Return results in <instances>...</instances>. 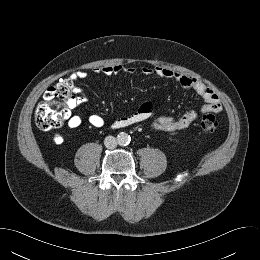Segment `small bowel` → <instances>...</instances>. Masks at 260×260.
Wrapping results in <instances>:
<instances>
[{"mask_svg": "<svg viewBox=\"0 0 260 260\" xmlns=\"http://www.w3.org/2000/svg\"><path fill=\"white\" fill-rule=\"evenodd\" d=\"M96 74H102L105 76H112L125 72L127 74L136 73V69L132 67H125L122 65H106L94 70ZM141 73L145 76L156 75L162 78L175 80L182 88L192 89L199 96L203 98L205 103L201 106L199 113L208 112H220L222 109L221 101L218 95L202 81L185 75L179 72H175L169 68L156 66H145L141 69ZM87 72L83 70L76 71L72 74L74 80H82L87 77ZM79 96L75 100H72L69 104V112L66 115L67 125L71 129L78 128L82 119L80 116L72 114L71 110L76 108L81 103V91L77 88ZM154 116V106L151 102L147 101L140 105L136 112L131 115L120 117L115 119L111 123L113 129H121L128 126L136 125L148 120H151ZM198 117V112L188 111L181 117L175 119L168 115H163L155 118L152 122V130L157 133H171L186 129L191 123H193ZM89 122L94 127H102L104 125V119L98 115L93 114L89 117ZM54 142L61 143L62 136L60 134L54 135Z\"/></svg>", "mask_w": 260, "mask_h": 260, "instance_id": "c3829d8e", "label": "small bowel"}]
</instances>
